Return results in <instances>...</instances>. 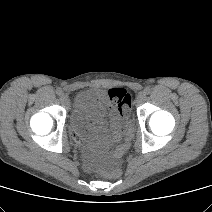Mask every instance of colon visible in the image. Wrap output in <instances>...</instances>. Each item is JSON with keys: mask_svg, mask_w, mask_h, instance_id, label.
Instances as JSON below:
<instances>
[{"mask_svg": "<svg viewBox=\"0 0 212 212\" xmlns=\"http://www.w3.org/2000/svg\"><path fill=\"white\" fill-rule=\"evenodd\" d=\"M116 94H118V99L116 101V105L118 111L123 114L127 112L131 105V97L126 92V90L122 88L113 89L110 91V97L113 98ZM128 148V144L125 143L118 147L116 150V156H121ZM121 169L118 166H113L109 170L103 172V175L110 179H118L121 176Z\"/></svg>", "mask_w": 212, "mask_h": 212, "instance_id": "1", "label": "colon"}]
</instances>
